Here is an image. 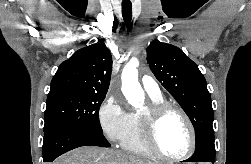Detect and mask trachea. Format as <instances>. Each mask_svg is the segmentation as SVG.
Instances as JSON below:
<instances>
[{
    "instance_id": "trachea-1",
    "label": "trachea",
    "mask_w": 251,
    "mask_h": 164,
    "mask_svg": "<svg viewBox=\"0 0 251 164\" xmlns=\"http://www.w3.org/2000/svg\"><path fill=\"white\" fill-rule=\"evenodd\" d=\"M122 16L126 24H129L132 19V4L129 0L122 2Z\"/></svg>"
}]
</instances>
